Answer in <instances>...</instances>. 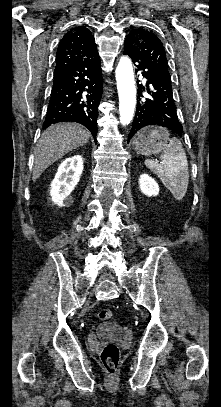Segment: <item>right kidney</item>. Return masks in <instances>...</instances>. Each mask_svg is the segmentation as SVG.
Here are the masks:
<instances>
[{
    "mask_svg": "<svg viewBox=\"0 0 221 407\" xmlns=\"http://www.w3.org/2000/svg\"><path fill=\"white\" fill-rule=\"evenodd\" d=\"M83 171L81 155L66 158L58 167L55 178L50 185L52 201L58 206H68L73 200L70 197Z\"/></svg>",
    "mask_w": 221,
    "mask_h": 407,
    "instance_id": "right-kidney-1",
    "label": "right kidney"
}]
</instances>
